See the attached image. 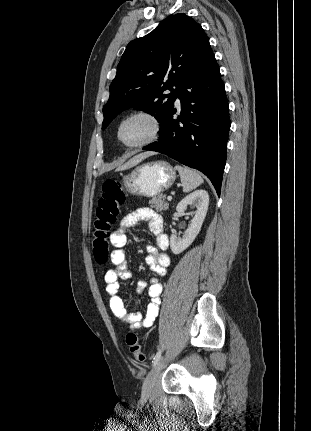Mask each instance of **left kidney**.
<instances>
[{
	"mask_svg": "<svg viewBox=\"0 0 311 431\" xmlns=\"http://www.w3.org/2000/svg\"><path fill=\"white\" fill-rule=\"evenodd\" d=\"M187 206L196 208V210L195 212H191V216L193 217L191 219L190 227L185 229L182 237L171 235L170 247L173 253H181V251H184V249L189 247L190 243L194 241L196 235H198L209 206L208 192H205V190H196V192H192V194L183 198V200H181V202L176 206L178 214H184V210H186ZM184 216H186L185 219H188L190 214H184Z\"/></svg>",
	"mask_w": 311,
	"mask_h": 431,
	"instance_id": "left-kidney-1",
	"label": "left kidney"
}]
</instances>
